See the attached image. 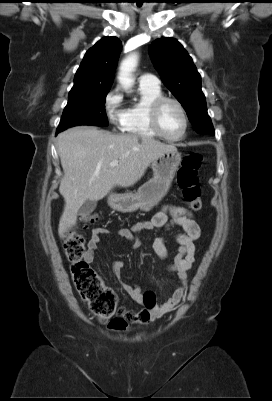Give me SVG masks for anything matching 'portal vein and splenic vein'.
<instances>
[{
  "label": "portal vein and splenic vein",
  "instance_id": "1",
  "mask_svg": "<svg viewBox=\"0 0 272 401\" xmlns=\"http://www.w3.org/2000/svg\"><path fill=\"white\" fill-rule=\"evenodd\" d=\"M118 160H114V161H112L111 163H110V167H116V166H118Z\"/></svg>",
  "mask_w": 272,
  "mask_h": 401
}]
</instances>
